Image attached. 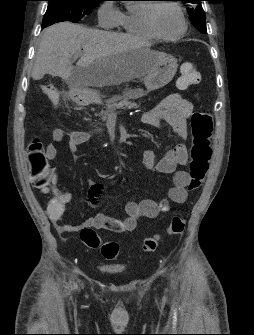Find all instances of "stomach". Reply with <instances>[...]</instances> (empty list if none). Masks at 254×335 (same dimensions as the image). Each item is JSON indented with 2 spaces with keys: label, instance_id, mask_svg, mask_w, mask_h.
Returning <instances> with one entry per match:
<instances>
[{
  "label": "stomach",
  "instance_id": "obj_1",
  "mask_svg": "<svg viewBox=\"0 0 254 335\" xmlns=\"http://www.w3.org/2000/svg\"><path fill=\"white\" fill-rule=\"evenodd\" d=\"M150 52L154 55L155 61L152 68L144 76V85L147 92L167 85L173 79L178 68L177 59L173 56L159 51L150 50ZM144 93L142 89H134L127 91L125 95L130 99H136L142 97ZM71 96L75 101L82 104L101 103V99L96 93L82 88L73 90Z\"/></svg>",
  "mask_w": 254,
  "mask_h": 335
}]
</instances>
